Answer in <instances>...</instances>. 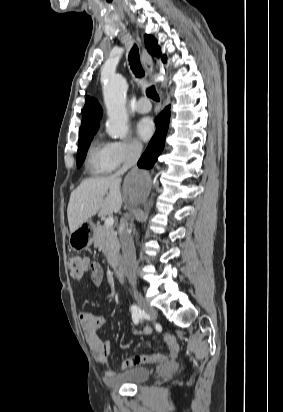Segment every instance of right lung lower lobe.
<instances>
[{"instance_id": "right-lung-lower-lobe-1", "label": "right lung lower lobe", "mask_w": 283, "mask_h": 412, "mask_svg": "<svg viewBox=\"0 0 283 412\" xmlns=\"http://www.w3.org/2000/svg\"><path fill=\"white\" fill-rule=\"evenodd\" d=\"M170 120V106H167L155 119L156 132L152 137L147 149L138 161V166L150 168L161 154Z\"/></svg>"}]
</instances>
